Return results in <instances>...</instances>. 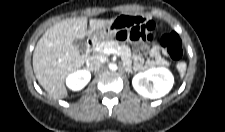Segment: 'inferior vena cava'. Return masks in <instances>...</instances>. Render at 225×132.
<instances>
[{
	"label": "inferior vena cava",
	"instance_id": "inferior-vena-cava-1",
	"mask_svg": "<svg viewBox=\"0 0 225 132\" xmlns=\"http://www.w3.org/2000/svg\"><path fill=\"white\" fill-rule=\"evenodd\" d=\"M105 62L101 56H91L87 59L86 64L90 70H96Z\"/></svg>",
	"mask_w": 225,
	"mask_h": 132
}]
</instances>
